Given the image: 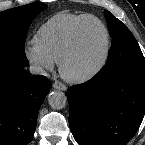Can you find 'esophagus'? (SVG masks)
<instances>
[{"instance_id": "1", "label": "esophagus", "mask_w": 145, "mask_h": 145, "mask_svg": "<svg viewBox=\"0 0 145 145\" xmlns=\"http://www.w3.org/2000/svg\"><path fill=\"white\" fill-rule=\"evenodd\" d=\"M52 86L54 89H57V90H61V91L67 90V87L60 81H55Z\"/></svg>"}]
</instances>
